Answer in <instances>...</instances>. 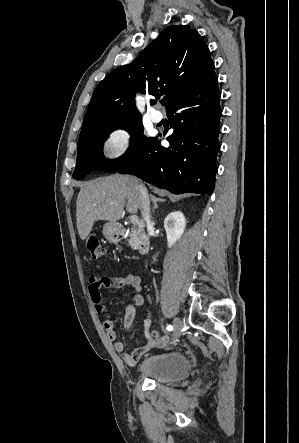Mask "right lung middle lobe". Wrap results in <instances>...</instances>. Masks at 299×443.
I'll list each match as a JSON object with an SVG mask.
<instances>
[{"instance_id":"dd1d6c3e","label":"right lung middle lobe","mask_w":299,"mask_h":443,"mask_svg":"<svg viewBox=\"0 0 299 443\" xmlns=\"http://www.w3.org/2000/svg\"><path fill=\"white\" fill-rule=\"evenodd\" d=\"M118 128L125 129L131 134V145L121 157L114 160L106 159L102 151L103 141ZM152 139L143 135L140 118L97 128L81 136L78 141L77 165L73 177L81 179L94 170L116 172L136 160Z\"/></svg>"}]
</instances>
